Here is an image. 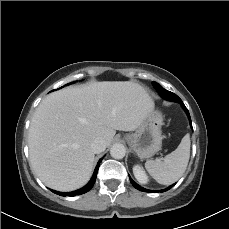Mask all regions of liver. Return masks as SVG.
<instances>
[{"label":"liver","mask_w":229,"mask_h":229,"mask_svg":"<svg viewBox=\"0 0 229 229\" xmlns=\"http://www.w3.org/2000/svg\"><path fill=\"white\" fill-rule=\"evenodd\" d=\"M153 109V99L132 81L91 82L55 91L42 100L31 121V167L46 186L76 190L92 174V141L102 138L109 146L116 130H136Z\"/></svg>","instance_id":"1"}]
</instances>
